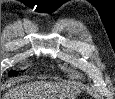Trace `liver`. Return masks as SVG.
Returning a JSON list of instances; mask_svg holds the SVG:
<instances>
[{"label": "liver", "mask_w": 115, "mask_h": 99, "mask_svg": "<svg viewBox=\"0 0 115 99\" xmlns=\"http://www.w3.org/2000/svg\"><path fill=\"white\" fill-rule=\"evenodd\" d=\"M63 84L48 82H33L17 86L3 95V99H45L43 97H58L63 99Z\"/></svg>", "instance_id": "obj_1"}]
</instances>
